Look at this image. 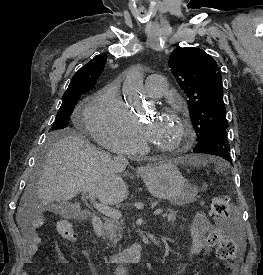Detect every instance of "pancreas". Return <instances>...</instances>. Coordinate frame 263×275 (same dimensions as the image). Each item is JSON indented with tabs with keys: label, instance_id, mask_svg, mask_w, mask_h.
I'll use <instances>...</instances> for the list:
<instances>
[{
	"label": "pancreas",
	"instance_id": "cf45deb5",
	"mask_svg": "<svg viewBox=\"0 0 263 275\" xmlns=\"http://www.w3.org/2000/svg\"><path fill=\"white\" fill-rule=\"evenodd\" d=\"M176 214L177 211L167 209L162 216L163 218H167L168 221L174 222L176 220ZM104 230L105 238H108L113 244H117V242L122 238L123 228L118 219L106 218L104 223Z\"/></svg>",
	"mask_w": 263,
	"mask_h": 275
}]
</instances>
